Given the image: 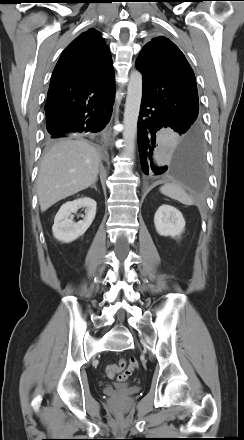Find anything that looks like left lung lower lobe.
Listing matches in <instances>:
<instances>
[{
  "label": "left lung lower lobe",
  "instance_id": "1",
  "mask_svg": "<svg viewBox=\"0 0 244 440\" xmlns=\"http://www.w3.org/2000/svg\"><path fill=\"white\" fill-rule=\"evenodd\" d=\"M167 128L183 135L180 145L170 151L161 131ZM154 102L142 98L138 119V146L142 170L146 175L172 172L193 191L203 187L205 179L204 148L201 132H186Z\"/></svg>",
  "mask_w": 244,
  "mask_h": 440
}]
</instances>
